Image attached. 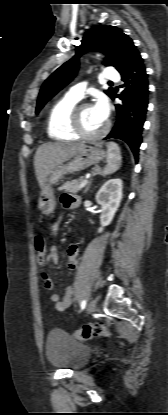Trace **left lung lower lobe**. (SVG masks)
Instances as JSON below:
<instances>
[{
    "mask_svg": "<svg viewBox=\"0 0 168 415\" xmlns=\"http://www.w3.org/2000/svg\"><path fill=\"white\" fill-rule=\"evenodd\" d=\"M124 90L118 94L114 90L111 99L119 98L116 104L117 120L106 139H121L131 148L135 160L142 143V129L148 106V79L143 59L138 53L121 73Z\"/></svg>",
    "mask_w": 168,
    "mask_h": 415,
    "instance_id": "1",
    "label": "left lung lower lobe"
}]
</instances>
